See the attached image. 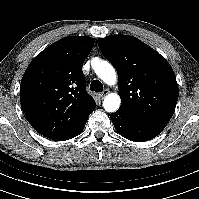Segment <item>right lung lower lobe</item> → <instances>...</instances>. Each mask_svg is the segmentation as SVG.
<instances>
[{
	"label": "right lung lower lobe",
	"mask_w": 199,
	"mask_h": 199,
	"mask_svg": "<svg viewBox=\"0 0 199 199\" xmlns=\"http://www.w3.org/2000/svg\"><path fill=\"white\" fill-rule=\"evenodd\" d=\"M84 126H85V125H84ZM84 126H83L79 131H77L76 133H74V134H72V135H70V136H67V137H65V138H63V139H61V140H62V141H65V140L71 139V138H73V137H76V136L83 130ZM61 140H59V141H61Z\"/></svg>",
	"instance_id": "right-lung-lower-lobe-1"
}]
</instances>
